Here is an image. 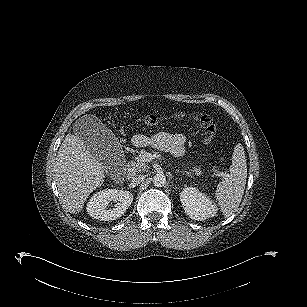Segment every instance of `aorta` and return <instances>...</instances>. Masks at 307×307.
Instances as JSON below:
<instances>
[{
  "label": "aorta",
  "mask_w": 307,
  "mask_h": 307,
  "mask_svg": "<svg viewBox=\"0 0 307 307\" xmlns=\"http://www.w3.org/2000/svg\"><path fill=\"white\" fill-rule=\"evenodd\" d=\"M166 183V178L164 175H156L153 178V184L156 187H162Z\"/></svg>",
  "instance_id": "1"
}]
</instances>
